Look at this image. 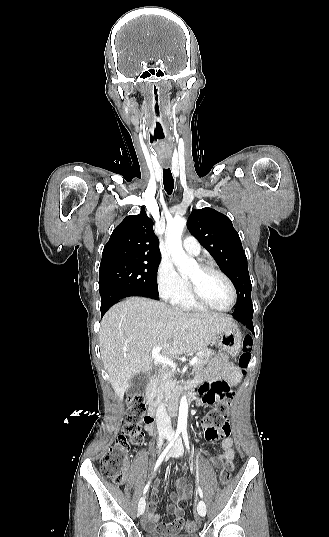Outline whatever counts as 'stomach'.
Returning <instances> with one entry per match:
<instances>
[{
  "instance_id": "0dacf381",
  "label": "stomach",
  "mask_w": 329,
  "mask_h": 537,
  "mask_svg": "<svg viewBox=\"0 0 329 537\" xmlns=\"http://www.w3.org/2000/svg\"><path fill=\"white\" fill-rule=\"evenodd\" d=\"M218 346L232 357L236 356L241 348V334L236 325L222 331L215 339Z\"/></svg>"
}]
</instances>
